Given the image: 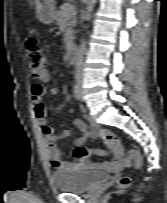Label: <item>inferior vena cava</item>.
Listing matches in <instances>:
<instances>
[{
    "label": "inferior vena cava",
    "instance_id": "602c4592",
    "mask_svg": "<svg viewBox=\"0 0 167 203\" xmlns=\"http://www.w3.org/2000/svg\"><path fill=\"white\" fill-rule=\"evenodd\" d=\"M85 45L82 43L77 49V61H76V74L78 78H82V70H83V58L85 54Z\"/></svg>",
    "mask_w": 167,
    "mask_h": 203
}]
</instances>
